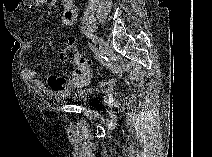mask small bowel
<instances>
[{
	"instance_id": "small-bowel-1",
	"label": "small bowel",
	"mask_w": 212,
	"mask_h": 157,
	"mask_svg": "<svg viewBox=\"0 0 212 157\" xmlns=\"http://www.w3.org/2000/svg\"><path fill=\"white\" fill-rule=\"evenodd\" d=\"M29 6L28 2L23 0H6L5 8L9 13H16L21 9H25ZM77 7L74 0H64L62 2V18L61 23L64 26H71L77 17ZM32 43L30 41L25 42V49L30 50ZM24 76L26 79L34 83L37 87L44 89L47 93L54 97H63L68 93L81 88L85 82L91 77V71L89 70L88 76L85 80L81 81L71 77H64L58 75L48 76L45 82L40 79V71L37 68H28L24 70Z\"/></svg>"
}]
</instances>
